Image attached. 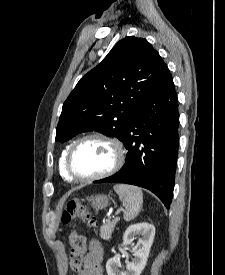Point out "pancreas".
<instances>
[{
  "label": "pancreas",
  "instance_id": "pancreas-1",
  "mask_svg": "<svg viewBox=\"0 0 225 275\" xmlns=\"http://www.w3.org/2000/svg\"><path fill=\"white\" fill-rule=\"evenodd\" d=\"M119 219L113 221H106L100 228V236L104 240H109L111 238L112 232L117 224Z\"/></svg>",
  "mask_w": 225,
  "mask_h": 275
}]
</instances>
